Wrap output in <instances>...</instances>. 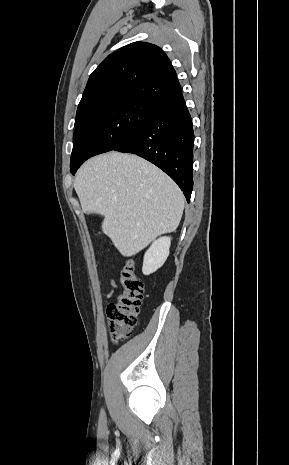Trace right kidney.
Wrapping results in <instances>:
<instances>
[{
  "label": "right kidney",
  "instance_id": "right-kidney-1",
  "mask_svg": "<svg viewBox=\"0 0 289 465\" xmlns=\"http://www.w3.org/2000/svg\"><path fill=\"white\" fill-rule=\"evenodd\" d=\"M170 245V237H161L153 242L144 255L142 267L144 275H149L155 272L165 263L169 256Z\"/></svg>",
  "mask_w": 289,
  "mask_h": 465
}]
</instances>
